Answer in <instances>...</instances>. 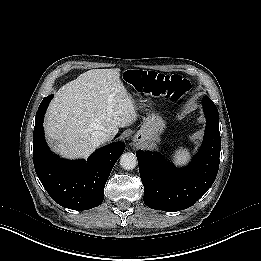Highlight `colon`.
Returning a JSON list of instances; mask_svg holds the SVG:
<instances>
[{"label":"colon","instance_id":"5ec220e1","mask_svg":"<svg viewBox=\"0 0 261 261\" xmlns=\"http://www.w3.org/2000/svg\"><path fill=\"white\" fill-rule=\"evenodd\" d=\"M132 76L134 84L143 92L176 103H181L189 91L188 83L177 75L165 76L154 71L133 70Z\"/></svg>","mask_w":261,"mask_h":261}]
</instances>
